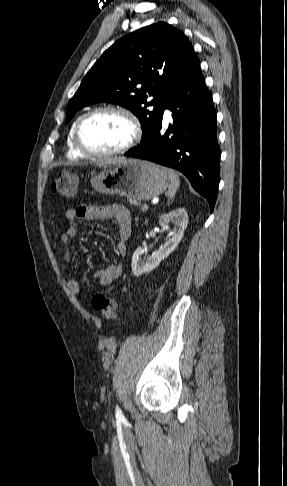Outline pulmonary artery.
<instances>
[{
    "label": "pulmonary artery",
    "instance_id": "obj_1",
    "mask_svg": "<svg viewBox=\"0 0 287 486\" xmlns=\"http://www.w3.org/2000/svg\"><path fill=\"white\" fill-rule=\"evenodd\" d=\"M166 118L169 119V112H166Z\"/></svg>",
    "mask_w": 287,
    "mask_h": 486
}]
</instances>
